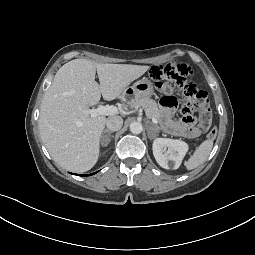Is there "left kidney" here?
<instances>
[{"mask_svg": "<svg viewBox=\"0 0 255 255\" xmlns=\"http://www.w3.org/2000/svg\"><path fill=\"white\" fill-rule=\"evenodd\" d=\"M157 163L165 169H177L188 151V144L182 140L156 138L152 145Z\"/></svg>", "mask_w": 255, "mask_h": 255, "instance_id": "1", "label": "left kidney"}]
</instances>
